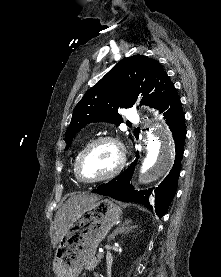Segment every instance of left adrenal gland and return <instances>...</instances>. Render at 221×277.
<instances>
[{"instance_id": "1", "label": "left adrenal gland", "mask_w": 221, "mask_h": 277, "mask_svg": "<svg viewBox=\"0 0 221 277\" xmlns=\"http://www.w3.org/2000/svg\"><path fill=\"white\" fill-rule=\"evenodd\" d=\"M131 220H126L125 223L120 224L108 237V240H112L118 234L128 233L136 228V226H130Z\"/></svg>"}]
</instances>
